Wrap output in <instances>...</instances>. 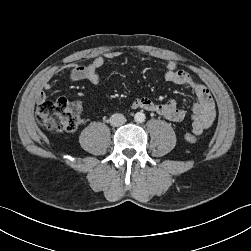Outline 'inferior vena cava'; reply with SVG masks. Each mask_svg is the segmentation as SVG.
<instances>
[{
  "instance_id": "obj_1",
  "label": "inferior vena cava",
  "mask_w": 251,
  "mask_h": 251,
  "mask_svg": "<svg viewBox=\"0 0 251 251\" xmlns=\"http://www.w3.org/2000/svg\"><path fill=\"white\" fill-rule=\"evenodd\" d=\"M125 122H126L125 116L120 113H115L110 117V124L114 127L121 126Z\"/></svg>"
}]
</instances>
